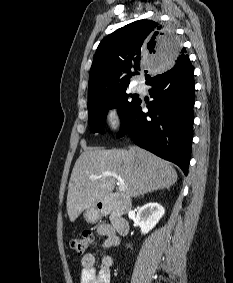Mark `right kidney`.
Masks as SVG:
<instances>
[{"instance_id": "obj_1", "label": "right kidney", "mask_w": 233, "mask_h": 283, "mask_svg": "<svg viewBox=\"0 0 233 283\" xmlns=\"http://www.w3.org/2000/svg\"><path fill=\"white\" fill-rule=\"evenodd\" d=\"M164 208L158 203H147L137 212V222L141 228V233L146 234L152 230L164 215Z\"/></svg>"}]
</instances>
